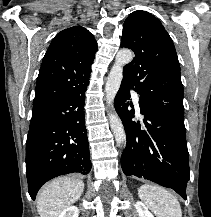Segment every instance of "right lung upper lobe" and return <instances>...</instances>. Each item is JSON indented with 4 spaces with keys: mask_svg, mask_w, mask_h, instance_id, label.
Returning a JSON list of instances; mask_svg holds the SVG:
<instances>
[{
    "mask_svg": "<svg viewBox=\"0 0 211 217\" xmlns=\"http://www.w3.org/2000/svg\"><path fill=\"white\" fill-rule=\"evenodd\" d=\"M96 51L97 42L87 29L74 26L59 32L43 58L33 110L60 101L86 86Z\"/></svg>",
    "mask_w": 211,
    "mask_h": 217,
    "instance_id": "1",
    "label": "right lung upper lobe"
}]
</instances>
